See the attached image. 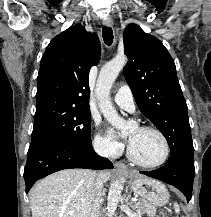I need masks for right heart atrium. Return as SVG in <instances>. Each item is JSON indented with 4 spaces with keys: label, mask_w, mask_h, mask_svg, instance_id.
Returning a JSON list of instances; mask_svg holds the SVG:
<instances>
[{
    "label": "right heart atrium",
    "mask_w": 211,
    "mask_h": 217,
    "mask_svg": "<svg viewBox=\"0 0 211 217\" xmlns=\"http://www.w3.org/2000/svg\"><path fill=\"white\" fill-rule=\"evenodd\" d=\"M93 145L98 153L108 157H116L120 155L123 150V146L120 143L111 140L100 132L96 133Z\"/></svg>",
    "instance_id": "d8ad5b80"
}]
</instances>
